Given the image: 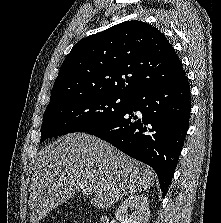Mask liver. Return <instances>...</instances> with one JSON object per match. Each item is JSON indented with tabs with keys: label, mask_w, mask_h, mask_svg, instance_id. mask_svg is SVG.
Segmentation results:
<instances>
[{
	"label": "liver",
	"mask_w": 221,
	"mask_h": 223,
	"mask_svg": "<svg viewBox=\"0 0 221 223\" xmlns=\"http://www.w3.org/2000/svg\"><path fill=\"white\" fill-rule=\"evenodd\" d=\"M82 183L94 194L91 204L107 209L124 196L149 190L154 174L99 138L67 134L38 153L30 184V222L38 223L72 198Z\"/></svg>",
	"instance_id": "1"
}]
</instances>
